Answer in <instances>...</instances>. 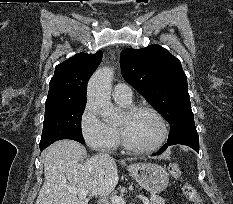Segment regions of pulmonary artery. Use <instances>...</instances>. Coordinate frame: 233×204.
I'll use <instances>...</instances> for the list:
<instances>
[{"instance_id": "1", "label": "pulmonary artery", "mask_w": 233, "mask_h": 204, "mask_svg": "<svg viewBox=\"0 0 233 204\" xmlns=\"http://www.w3.org/2000/svg\"><path fill=\"white\" fill-rule=\"evenodd\" d=\"M113 98L117 103L128 104L132 101V91L126 84L119 83L113 88Z\"/></svg>"}]
</instances>
